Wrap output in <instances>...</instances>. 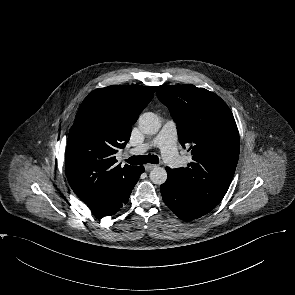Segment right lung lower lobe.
Listing matches in <instances>:
<instances>
[{"instance_id": "obj_1", "label": "right lung lower lobe", "mask_w": 295, "mask_h": 295, "mask_svg": "<svg viewBox=\"0 0 295 295\" xmlns=\"http://www.w3.org/2000/svg\"><path fill=\"white\" fill-rule=\"evenodd\" d=\"M144 171L143 166L135 167L126 179L111 188L95 205L90 206L92 213L97 218H102L120 211L129 201L132 189Z\"/></svg>"}]
</instances>
